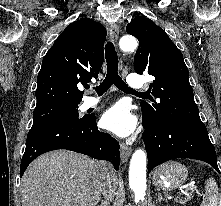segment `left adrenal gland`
Segmentation results:
<instances>
[{
    "label": "left adrenal gland",
    "instance_id": "obj_1",
    "mask_svg": "<svg viewBox=\"0 0 221 206\" xmlns=\"http://www.w3.org/2000/svg\"><path fill=\"white\" fill-rule=\"evenodd\" d=\"M162 200H164V198L162 197L161 193H158V198L156 202H161Z\"/></svg>",
    "mask_w": 221,
    "mask_h": 206
}]
</instances>
